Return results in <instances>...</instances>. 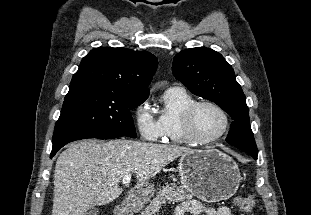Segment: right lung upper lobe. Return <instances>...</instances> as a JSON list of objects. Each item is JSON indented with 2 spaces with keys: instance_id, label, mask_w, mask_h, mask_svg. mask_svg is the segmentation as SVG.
Masks as SVG:
<instances>
[{
  "instance_id": "1",
  "label": "right lung upper lobe",
  "mask_w": 311,
  "mask_h": 215,
  "mask_svg": "<svg viewBox=\"0 0 311 215\" xmlns=\"http://www.w3.org/2000/svg\"><path fill=\"white\" fill-rule=\"evenodd\" d=\"M156 57L147 51L98 47L81 61L70 88L94 86L135 95H149L148 85L157 69Z\"/></svg>"
}]
</instances>
